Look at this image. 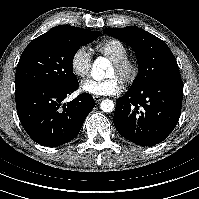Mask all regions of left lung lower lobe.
Wrapping results in <instances>:
<instances>
[{
	"mask_svg": "<svg viewBox=\"0 0 199 199\" xmlns=\"http://www.w3.org/2000/svg\"><path fill=\"white\" fill-rule=\"evenodd\" d=\"M183 83L180 73L156 79L116 100L113 122L127 140L154 146L175 128L181 114Z\"/></svg>",
	"mask_w": 199,
	"mask_h": 199,
	"instance_id": "0a47b994",
	"label": "left lung lower lobe"
}]
</instances>
